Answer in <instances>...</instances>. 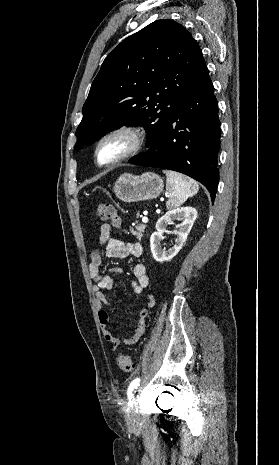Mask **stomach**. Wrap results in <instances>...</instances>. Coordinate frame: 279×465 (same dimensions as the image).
Returning <instances> with one entry per match:
<instances>
[{
	"instance_id": "0dacf381",
	"label": "stomach",
	"mask_w": 279,
	"mask_h": 465,
	"mask_svg": "<svg viewBox=\"0 0 279 465\" xmlns=\"http://www.w3.org/2000/svg\"><path fill=\"white\" fill-rule=\"evenodd\" d=\"M163 190V180L155 173L142 175L124 173L116 180L113 191L123 202L131 203L157 198Z\"/></svg>"
}]
</instances>
